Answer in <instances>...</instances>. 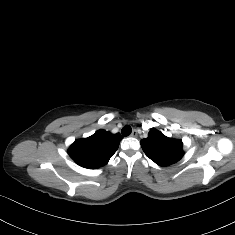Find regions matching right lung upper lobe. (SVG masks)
<instances>
[{
  "mask_svg": "<svg viewBox=\"0 0 235 235\" xmlns=\"http://www.w3.org/2000/svg\"><path fill=\"white\" fill-rule=\"evenodd\" d=\"M121 139L120 133L112 134L100 129L88 138L77 139L68 149V154L84 168H99L108 163Z\"/></svg>",
  "mask_w": 235,
  "mask_h": 235,
  "instance_id": "obj_1",
  "label": "right lung upper lobe"
}]
</instances>
